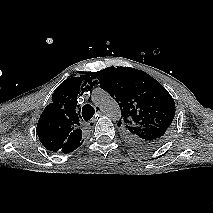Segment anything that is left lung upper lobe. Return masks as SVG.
Listing matches in <instances>:
<instances>
[{"mask_svg": "<svg viewBox=\"0 0 213 213\" xmlns=\"http://www.w3.org/2000/svg\"><path fill=\"white\" fill-rule=\"evenodd\" d=\"M101 88L115 97L122 112L126 141L138 149H153L171 135L175 103L169 92L147 73L131 67H108L97 72Z\"/></svg>", "mask_w": 213, "mask_h": 213, "instance_id": "obj_1", "label": "left lung upper lobe"}]
</instances>
